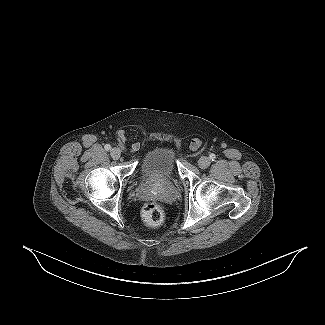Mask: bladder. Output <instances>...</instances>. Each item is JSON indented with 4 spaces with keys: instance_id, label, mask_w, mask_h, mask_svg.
Returning <instances> with one entry per match:
<instances>
[{
    "instance_id": "31cf9c89",
    "label": "bladder",
    "mask_w": 325,
    "mask_h": 325,
    "mask_svg": "<svg viewBox=\"0 0 325 325\" xmlns=\"http://www.w3.org/2000/svg\"><path fill=\"white\" fill-rule=\"evenodd\" d=\"M176 168V150L161 146L145 155L140 165V173L147 180L161 181L173 176Z\"/></svg>"
}]
</instances>
